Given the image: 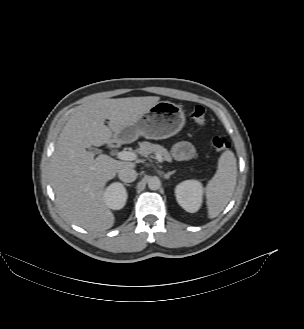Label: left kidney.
Returning a JSON list of instances; mask_svg holds the SVG:
<instances>
[{
    "label": "left kidney",
    "instance_id": "obj_1",
    "mask_svg": "<svg viewBox=\"0 0 304 329\" xmlns=\"http://www.w3.org/2000/svg\"><path fill=\"white\" fill-rule=\"evenodd\" d=\"M178 204L187 212L194 213L199 210L203 198V186L198 180H186L175 188Z\"/></svg>",
    "mask_w": 304,
    "mask_h": 329
}]
</instances>
